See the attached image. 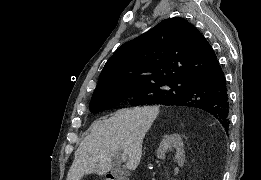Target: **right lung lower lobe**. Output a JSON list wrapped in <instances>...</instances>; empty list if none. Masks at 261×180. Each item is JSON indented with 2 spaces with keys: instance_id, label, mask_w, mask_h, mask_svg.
<instances>
[{
  "instance_id": "1",
  "label": "right lung lower lobe",
  "mask_w": 261,
  "mask_h": 180,
  "mask_svg": "<svg viewBox=\"0 0 261 180\" xmlns=\"http://www.w3.org/2000/svg\"><path fill=\"white\" fill-rule=\"evenodd\" d=\"M185 91L163 105H182L205 110L215 116L226 133L230 124L229 97L224 73L217 63L193 74Z\"/></svg>"
}]
</instances>
